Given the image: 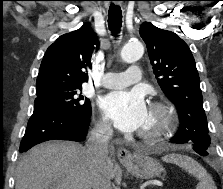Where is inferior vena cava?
<instances>
[{
  "instance_id": "obj_1",
  "label": "inferior vena cava",
  "mask_w": 223,
  "mask_h": 189,
  "mask_svg": "<svg viewBox=\"0 0 223 189\" xmlns=\"http://www.w3.org/2000/svg\"><path fill=\"white\" fill-rule=\"evenodd\" d=\"M113 136V129L109 124L98 123L90 132L86 144V153L91 160L92 189H112L108 173V143Z\"/></svg>"
}]
</instances>
